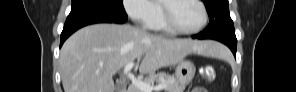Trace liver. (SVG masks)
Segmentation results:
<instances>
[{
    "label": "liver",
    "mask_w": 296,
    "mask_h": 92,
    "mask_svg": "<svg viewBox=\"0 0 296 92\" xmlns=\"http://www.w3.org/2000/svg\"><path fill=\"white\" fill-rule=\"evenodd\" d=\"M213 41L172 40L129 24H94L71 35L60 52L64 92H114L113 75L140 60L139 73L153 75L190 54L214 56Z\"/></svg>",
    "instance_id": "1"
}]
</instances>
